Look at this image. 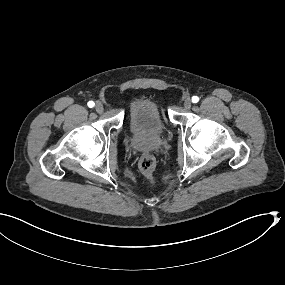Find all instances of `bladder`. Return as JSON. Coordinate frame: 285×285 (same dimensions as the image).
<instances>
[{"label":"bladder","mask_w":285,"mask_h":285,"mask_svg":"<svg viewBox=\"0 0 285 285\" xmlns=\"http://www.w3.org/2000/svg\"><path fill=\"white\" fill-rule=\"evenodd\" d=\"M155 101L156 99L146 96L128 106L132 113L133 129L129 135L131 139H155L164 136L158 126L160 117L154 109Z\"/></svg>","instance_id":"obj_1"}]
</instances>
